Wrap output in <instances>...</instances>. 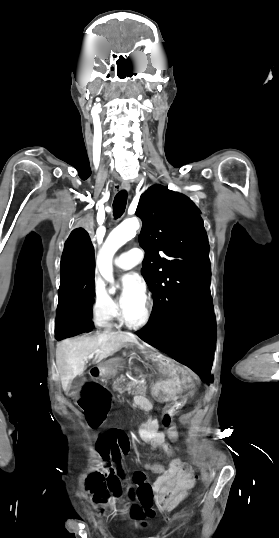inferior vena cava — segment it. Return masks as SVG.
Instances as JSON below:
<instances>
[{
	"label": "inferior vena cava",
	"mask_w": 279,
	"mask_h": 538,
	"mask_svg": "<svg viewBox=\"0 0 279 538\" xmlns=\"http://www.w3.org/2000/svg\"><path fill=\"white\" fill-rule=\"evenodd\" d=\"M110 315L113 316V314H110ZM111 316H108L107 319H109ZM107 319H106V320H107ZM108 327H111V326H108Z\"/></svg>",
	"instance_id": "obj_1"
}]
</instances>
